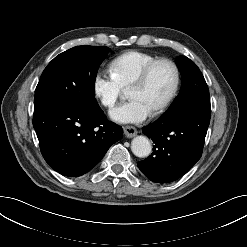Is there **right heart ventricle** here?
Masks as SVG:
<instances>
[{
    "label": "right heart ventricle",
    "instance_id": "1",
    "mask_svg": "<svg viewBox=\"0 0 247 247\" xmlns=\"http://www.w3.org/2000/svg\"><path fill=\"white\" fill-rule=\"evenodd\" d=\"M158 58L142 51H127L109 64V72L113 80L122 88L126 89L151 62Z\"/></svg>",
    "mask_w": 247,
    "mask_h": 247
}]
</instances>
